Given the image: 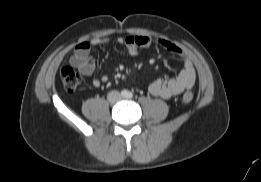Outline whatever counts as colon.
Segmentation results:
<instances>
[{"mask_svg":"<svg viewBox=\"0 0 261 182\" xmlns=\"http://www.w3.org/2000/svg\"><path fill=\"white\" fill-rule=\"evenodd\" d=\"M60 77L65 89L69 92L76 91L82 83L81 76L71 67L63 68ZM182 99L188 103L193 99V94L191 92H185Z\"/></svg>","mask_w":261,"mask_h":182,"instance_id":"5ec220e1","label":"colon"}]
</instances>
